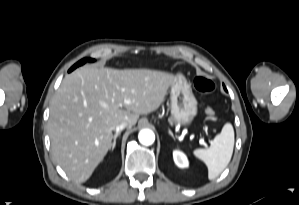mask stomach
Wrapping results in <instances>:
<instances>
[{
	"mask_svg": "<svg viewBox=\"0 0 299 205\" xmlns=\"http://www.w3.org/2000/svg\"><path fill=\"white\" fill-rule=\"evenodd\" d=\"M171 124L189 125L197 115V100L190 84L179 74L171 85Z\"/></svg>",
	"mask_w": 299,
	"mask_h": 205,
	"instance_id": "1",
	"label": "stomach"
}]
</instances>
